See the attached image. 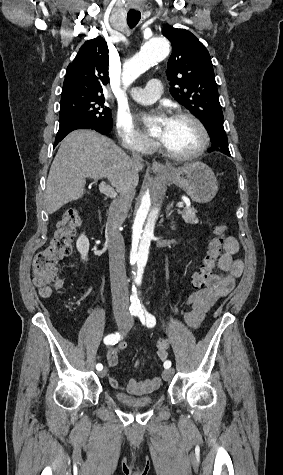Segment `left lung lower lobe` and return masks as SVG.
I'll use <instances>...</instances> for the list:
<instances>
[{
  "mask_svg": "<svg viewBox=\"0 0 283 475\" xmlns=\"http://www.w3.org/2000/svg\"><path fill=\"white\" fill-rule=\"evenodd\" d=\"M209 136L211 138L212 146L208 150V152H220L223 153L227 156L230 155V151L228 148V141H227V136L224 128H210L209 131Z\"/></svg>",
  "mask_w": 283,
  "mask_h": 475,
  "instance_id": "1",
  "label": "left lung lower lobe"
}]
</instances>
